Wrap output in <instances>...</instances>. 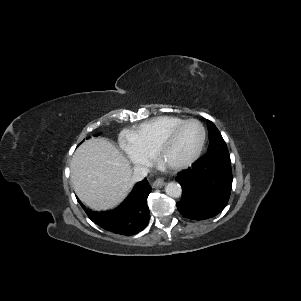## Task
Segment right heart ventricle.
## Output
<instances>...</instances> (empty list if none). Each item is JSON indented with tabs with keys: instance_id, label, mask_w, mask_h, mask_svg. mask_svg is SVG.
Listing matches in <instances>:
<instances>
[{
	"instance_id": "obj_1",
	"label": "right heart ventricle",
	"mask_w": 301,
	"mask_h": 301,
	"mask_svg": "<svg viewBox=\"0 0 301 301\" xmlns=\"http://www.w3.org/2000/svg\"><path fill=\"white\" fill-rule=\"evenodd\" d=\"M184 121L177 116H159L134 126L127 136L142 150L154 154L160 137L170 129Z\"/></svg>"
}]
</instances>
